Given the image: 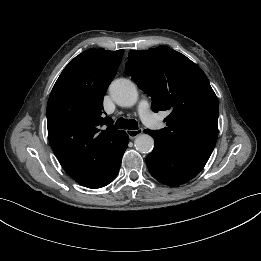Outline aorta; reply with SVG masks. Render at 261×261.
Masks as SVG:
<instances>
[{
    "mask_svg": "<svg viewBox=\"0 0 261 261\" xmlns=\"http://www.w3.org/2000/svg\"><path fill=\"white\" fill-rule=\"evenodd\" d=\"M109 92L116 104L122 107H132L138 100V91L135 84L124 78L114 80ZM135 149L143 154L153 150L154 139L148 134L139 135L134 141Z\"/></svg>",
    "mask_w": 261,
    "mask_h": 261,
    "instance_id": "762f6f07",
    "label": "aorta"
}]
</instances>
